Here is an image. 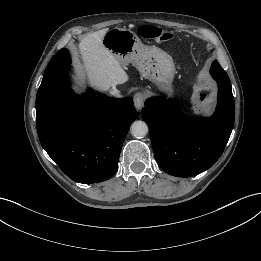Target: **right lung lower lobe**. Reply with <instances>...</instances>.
I'll return each mask as SVG.
<instances>
[{
	"label": "right lung lower lobe",
	"mask_w": 261,
	"mask_h": 261,
	"mask_svg": "<svg viewBox=\"0 0 261 261\" xmlns=\"http://www.w3.org/2000/svg\"><path fill=\"white\" fill-rule=\"evenodd\" d=\"M67 73L36 98L40 142L51 159L72 180L98 183L118 169L122 144L138 117L130 97L76 96Z\"/></svg>",
	"instance_id": "1"
}]
</instances>
